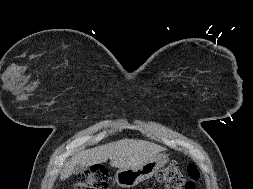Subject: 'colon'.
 <instances>
[{
	"instance_id": "5ec220e1",
	"label": "colon",
	"mask_w": 253,
	"mask_h": 189,
	"mask_svg": "<svg viewBox=\"0 0 253 189\" xmlns=\"http://www.w3.org/2000/svg\"><path fill=\"white\" fill-rule=\"evenodd\" d=\"M199 179V170L194 163L187 166V175L180 168L171 163L157 173L156 180L164 183L167 189H194L195 182ZM107 170L102 165H94L81 174L75 182L74 189H106Z\"/></svg>"
}]
</instances>
